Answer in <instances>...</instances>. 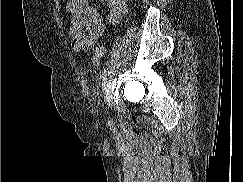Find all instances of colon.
<instances>
[{"instance_id": "obj_1", "label": "colon", "mask_w": 243, "mask_h": 182, "mask_svg": "<svg viewBox=\"0 0 243 182\" xmlns=\"http://www.w3.org/2000/svg\"><path fill=\"white\" fill-rule=\"evenodd\" d=\"M106 49L103 45H99L94 49L93 55H92V63L94 66H98L104 55H105Z\"/></svg>"}]
</instances>
